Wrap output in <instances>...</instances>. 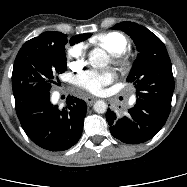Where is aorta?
<instances>
[{
    "instance_id": "obj_1",
    "label": "aorta",
    "mask_w": 187,
    "mask_h": 187,
    "mask_svg": "<svg viewBox=\"0 0 187 187\" xmlns=\"http://www.w3.org/2000/svg\"><path fill=\"white\" fill-rule=\"evenodd\" d=\"M89 62L92 66L105 67L109 63V57L104 50L95 48L89 53ZM107 107L103 100L96 101L93 106L94 111L101 114L107 111Z\"/></svg>"
}]
</instances>
